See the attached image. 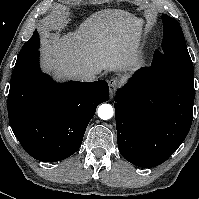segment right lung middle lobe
Wrapping results in <instances>:
<instances>
[{
    "mask_svg": "<svg viewBox=\"0 0 199 199\" xmlns=\"http://www.w3.org/2000/svg\"><path fill=\"white\" fill-rule=\"evenodd\" d=\"M40 46V39L38 36V32L34 31L32 37L30 40H28L22 47L18 57L15 66L23 62L28 56L33 54L38 50Z\"/></svg>",
    "mask_w": 199,
    "mask_h": 199,
    "instance_id": "dd1d6c3e",
    "label": "right lung middle lobe"
}]
</instances>
